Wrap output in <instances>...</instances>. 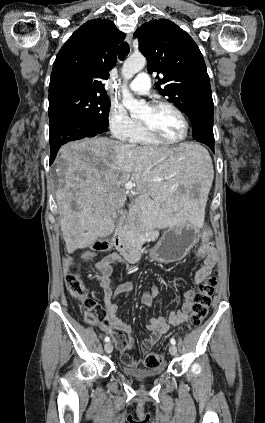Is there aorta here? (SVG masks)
I'll list each match as a JSON object with an SVG mask.
<instances>
[{
  "label": "aorta",
  "instance_id": "1",
  "mask_svg": "<svg viewBox=\"0 0 265 423\" xmlns=\"http://www.w3.org/2000/svg\"><path fill=\"white\" fill-rule=\"evenodd\" d=\"M146 64V59L143 55H131L122 66V76L125 84L122 87V103L129 110L132 116L139 114L145 108L143 100H137L129 92L126 87V82L130 80L136 73L141 71Z\"/></svg>",
  "mask_w": 265,
  "mask_h": 423
}]
</instances>
